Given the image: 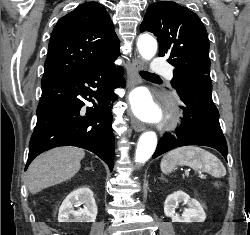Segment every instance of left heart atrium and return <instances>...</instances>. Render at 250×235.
Returning a JSON list of instances; mask_svg holds the SVG:
<instances>
[{
	"label": "left heart atrium",
	"mask_w": 250,
	"mask_h": 235,
	"mask_svg": "<svg viewBox=\"0 0 250 235\" xmlns=\"http://www.w3.org/2000/svg\"><path fill=\"white\" fill-rule=\"evenodd\" d=\"M134 113L143 119H157L159 112L148 96L144 93H136L131 99Z\"/></svg>",
	"instance_id": "39dd6f15"
}]
</instances>
